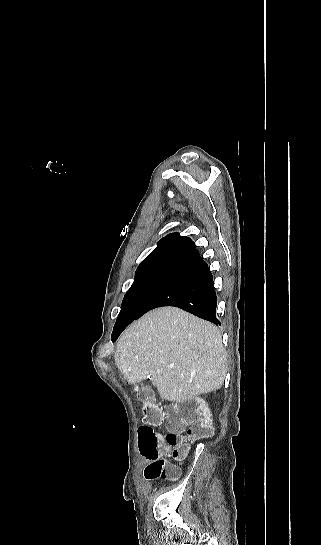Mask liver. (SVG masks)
<instances>
[{
    "label": "liver",
    "mask_w": 321,
    "mask_h": 545,
    "mask_svg": "<svg viewBox=\"0 0 321 545\" xmlns=\"http://www.w3.org/2000/svg\"><path fill=\"white\" fill-rule=\"evenodd\" d=\"M114 359L128 383L150 377L160 397L172 403L218 391L228 369L217 327L176 307L154 309L127 327Z\"/></svg>",
    "instance_id": "1"
}]
</instances>
